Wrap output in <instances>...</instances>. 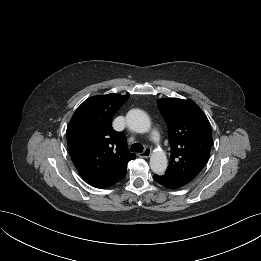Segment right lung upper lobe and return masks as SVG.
<instances>
[{
	"label": "right lung upper lobe",
	"instance_id": "obj_1",
	"mask_svg": "<svg viewBox=\"0 0 261 261\" xmlns=\"http://www.w3.org/2000/svg\"><path fill=\"white\" fill-rule=\"evenodd\" d=\"M128 98L118 94L90 97L77 108L67 127L72 161L82 178L96 188L123 179L128 162L135 159L127 150L125 136L111 125Z\"/></svg>",
	"mask_w": 261,
	"mask_h": 261
}]
</instances>
